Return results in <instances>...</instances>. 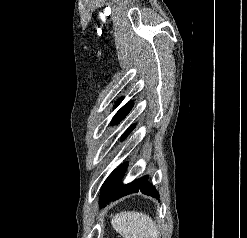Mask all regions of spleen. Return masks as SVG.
Masks as SVG:
<instances>
[{"label":"spleen","mask_w":247,"mask_h":238,"mask_svg":"<svg viewBox=\"0 0 247 238\" xmlns=\"http://www.w3.org/2000/svg\"><path fill=\"white\" fill-rule=\"evenodd\" d=\"M111 224L123 238H158V229L148 215L129 211L113 216Z\"/></svg>","instance_id":"spleen-1"}]
</instances>
